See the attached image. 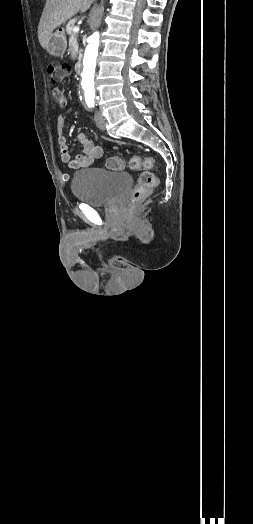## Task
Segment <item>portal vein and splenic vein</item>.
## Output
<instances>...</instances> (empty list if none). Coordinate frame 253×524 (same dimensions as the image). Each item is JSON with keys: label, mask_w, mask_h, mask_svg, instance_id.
Masks as SVG:
<instances>
[{"label": "portal vein and splenic vein", "mask_w": 253, "mask_h": 524, "mask_svg": "<svg viewBox=\"0 0 253 524\" xmlns=\"http://www.w3.org/2000/svg\"><path fill=\"white\" fill-rule=\"evenodd\" d=\"M73 31H74V32H78V31H79V26L74 27V28H73Z\"/></svg>", "instance_id": "18ae733b"}]
</instances>
